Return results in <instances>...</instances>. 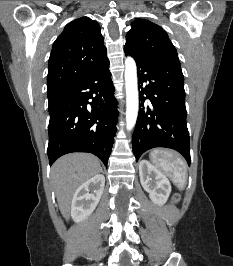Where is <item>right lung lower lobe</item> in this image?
Here are the masks:
<instances>
[{
    "label": "right lung lower lobe",
    "mask_w": 233,
    "mask_h": 266,
    "mask_svg": "<svg viewBox=\"0 0 233 266\" xmlns=\"http://www.w3.org/2000/svg\"><path fill=\"white\" fill-rule=\"evenodd\" d=\"M116 105L109 61L49 98L50 166L71 152L93 153L107 166L116 132Z\"/></svg>",
    "instance_id": "98d812e1"
}]
</instances>
